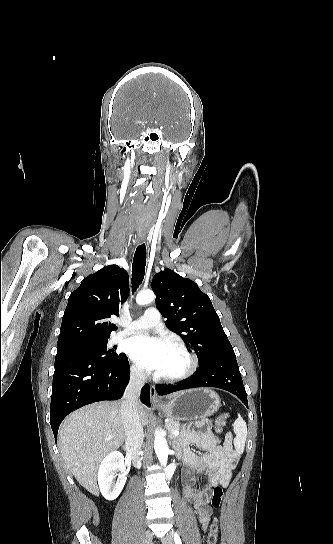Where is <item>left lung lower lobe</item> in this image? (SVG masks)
<instances>
[{"mask_svg":"<svg viewBox=\"0 0 333 544\" xmlns=\"http://www.w3.org/2000/svg\"><path fill=\"white\" fill-rule=\"evenodd\" d=\"M196 387H216L236 395L248 408L246 391L236 358H213L199 365L197 373L178 385H157L159 395Z\"/></svg>","mask_w":333,"mask_h":544,"instance_id":"1","label":"left lung lower lobe"}]
</instances>
